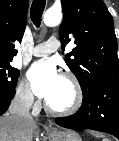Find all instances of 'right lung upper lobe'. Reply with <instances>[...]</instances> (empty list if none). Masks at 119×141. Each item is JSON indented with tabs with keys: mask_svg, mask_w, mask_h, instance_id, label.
<instances>
[{
	"mask_svg": "<svg viewBox=\"0 0 119 141\" xmlns=\"http://www.w3.org/2000/svg\"><path fill=\"white\" fill-rule=\"evenodd\" d=\"M28 0H0V60L17 54L14 42L23 37Z\"/></svg>",
	"mask_w": 119,
	"mask_h": 141,
	"instance_id": "cb5924a9",
	"label": "right lung upper lobe"
}]
</instances>
